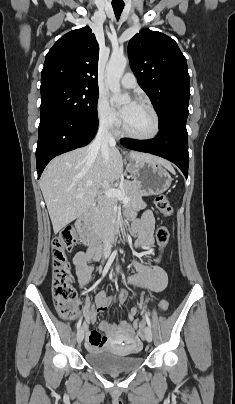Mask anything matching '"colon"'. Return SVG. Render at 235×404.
<instances>
[{"label":"colon","mask_w":235,"mask_h":404,"mask_svg":"<svg viewBox=\"0 0 235 404\" xmlns=\"http://www.w3.org/2000/svg\"><path fill=\"white\" fill-rule=\"evenodd\" d=\"M156 206L165 217H170L173 213L172 206L165 195H158L155 199ZM156 242L159 247L160 255L156 261L159 262L161 253L167 246L170 239V232L166 225H161L156 230ZM78 236L74 229L65 227L52 241L53 257V277L52 294L53 301L59 316L64 320H73L77 316V295L72 286L73 277L71 274L70 263L67 258V252L77 243ZM168 301L163 299L158 305V312H164L168 309ZM135 328H140L142 322L135 320ZM105 339L103 340V342Z\"/></svg>","instance_id":"obj_1"}]
</instances>
